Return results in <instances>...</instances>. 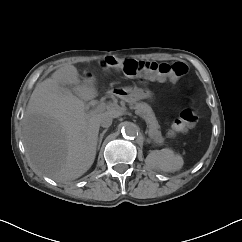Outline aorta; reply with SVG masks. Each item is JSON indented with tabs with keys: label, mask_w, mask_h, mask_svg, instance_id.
Here are the masks:
<instances>
[{
	"label": "aorta",
	"mask_w": 242,
	"mask_h": 242,
	"mask_svg": "<svg viewBox=\"0 0 242 242\" xmlns=\"http://www.w3.org/2000/svg\"><path fill=\"white\" fill-rule=\"evenodd\" d=\"M122 131L130 137H135L138 134V126L132 122H126Z\"/></svg>",
	"instance_id": "1"
}]
</instances>
